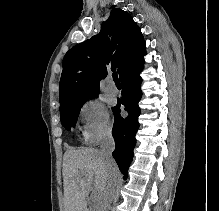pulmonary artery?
<instances>
[{"label":"pulmonary artery","mask_w":219,"mask_h":211,"mask_svg":"<svg viewBox=\"0 0 219 211\" xmlns=\"http://www.w3.org/2000/svg\"><path fill=\"white\" fill-rule=\"evenodd\" d=\"M108 87H107V91L110 95L116 96L119 94V90L116 87V85L114 84L113 80L111 77L108 78Z\"/></svg>","instance_id":"e3ab8cb5"}]
</instances>
